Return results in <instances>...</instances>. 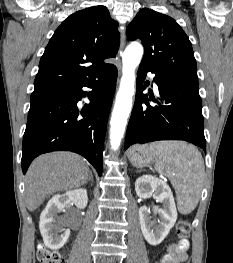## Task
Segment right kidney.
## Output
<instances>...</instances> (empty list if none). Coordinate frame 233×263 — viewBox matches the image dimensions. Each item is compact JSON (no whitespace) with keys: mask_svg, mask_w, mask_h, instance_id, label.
<instances>
[{"mask_svg":"<svg viewBox=\"0 0 233 263\" xmlns=\"http://www.w3.org/2000/svg\"><path fill=\"white\" fill-rule=\"evenodd\" d=\"M88 203L87 191L79 188L69 190L64 194L54 195L47 203L40 215L39 228L44 244L52 249L62 248L70 236L69 229H63L62 222H58L57 214L66 207L74 204L78 209H84Z\"/></svg>","mask_w":233,"mask_h":263,"instance_id":"right-kidney-1","label":"right kidney"}]
</instances>
